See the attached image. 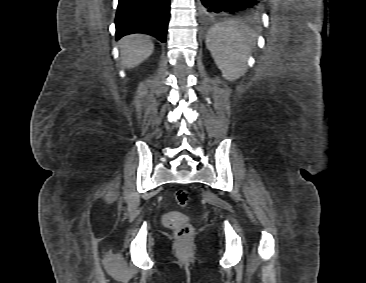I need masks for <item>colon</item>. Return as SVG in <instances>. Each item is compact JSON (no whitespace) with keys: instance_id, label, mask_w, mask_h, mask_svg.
Returning <instances> with one entry per match:
<instances>
[{"instance_id":"obj_1","label":"colon","mask_w":366,"mask_h":283,"mask_svg":"<svg viewBox=\"0 0 366 283\" xmlns=\"http://www.w3.org/2000/svg\"><path fill=\"white\" fill-rule=\"evenodd\" d=\"M175 199L176 203L181 207H187L191 201L189 193L184 189H180L176 192ZM191 230L192 228L189 224H183L176 227L174 229L176 239L180 242H184L189 238Z\"/></svg>"}]
</instances>
